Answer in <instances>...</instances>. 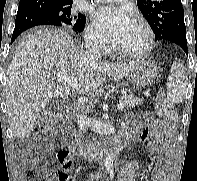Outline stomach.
Here are the masks:
<instances>
[{
	"label": "stomach",
	"mask_w": 197,
	"mask_h": 181,
	"mask_svg": "<svg viewBox=\"0 0 197 181\" xmlns=\"http://www.w3.org/2000/svg\"><path fill=\"white\" fill-rule=\"evenodd\" d=\"M158 74V68L152 61H135L130 73L131 81L138 87L150 85Z\"/></svg>",
	"instance_id": "stomach-1"
}]
</instances>
